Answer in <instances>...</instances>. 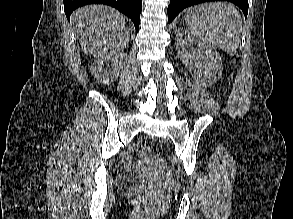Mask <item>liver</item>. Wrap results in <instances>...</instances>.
Segmentation results:
<instances>
[{
  "label": "liver",
  "instance_id": "1",
  "mask_svg": "<svg viewBox=\"0 0 293 219\" xmlns=\"http://www.w3.org/2000/svg\"><path fill=\"white\" fill-rule=\"evenodd\" d=\"M71 21L86 55L120 54L129 45L125 17L105 5L84 6L73 12Z\"/></svg>",
  "mask_w": 293,
  "mask_h": 219
}]
</instances>
